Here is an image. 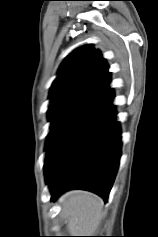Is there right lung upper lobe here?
<instances>
[{
  "label": "right lung upper lobe",
  "mask_w": 158,
  "mask_h": 237,
  "mask_svg": "<svg viewBox=\"0 0 158 237\" xmlns=\"http://www.w3.org/2000/svg\"><path fill=\"white\" fill-rule=\"evenodd\" d=\"M108 65L92 45L74 50L62 63L50 89L53 101H70L84 105L109 89Z\"/></svg>",
  "instance_id": "right-lung-upper-lobe-1"
}]
</instances>
